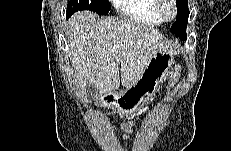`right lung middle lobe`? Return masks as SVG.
I'll use <instances>...</instances> for the list:
<instances>
[{
	"label": "right lung middle lobe",
	"mask_w": 231,
	"mask_h": 151,
	"mask_svg": "<svg viewBox=\"0 0 231 151\" xmlns=\"http://www.w3.org/2000/svg\"><path fill=\"white\" fill-rule=\"evenodd\" d=\"M79 10H90L98 14L107 15L111 10L108 0H71L67 4V14L73 15Z\"/></svg>",
	"instance_id": "1"
}]
</instances>
